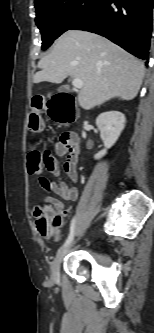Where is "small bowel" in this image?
<instances>
[{
	"label": "small bowel",
	"mask_w": 154,
	"mask_h": 333,
	"mask_svg": "<svg viewBox=\"0 0 154 333\" xmlns=\"http://www.w3.org/2000/svg\"><path fill=\"white\" fill-rule=\"evenodd\" d=\"M79 151V137L75 133L71 132L63 133L54 145V153L57 156L65 158L63 170L68 178L74 183L78 180L77 162ZM42 159L46 170L56 177V180H48L44 177L39 178L40 186L44 190L57 196L54 197L47 195L45 200L52 206L53 209L60 211L62 216H66L68 214V210L65 209V205L62 200L68 202L76 201L78 198V189L75 186H68L61 180L59 163L49 150H45L42 153Z\"/></svg>",
	"instance_id": "c3829d8e"
}]
</instances>
